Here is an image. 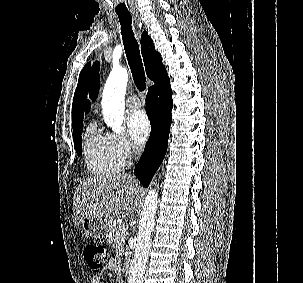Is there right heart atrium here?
Wrapping results in <instances>:
<instances>
[{
    "label": "right heart atrium",
    "mask_w": 303,
    "mask_h": 283,
    "mask_svg": "<svg viewBox=\"0 0 303 283\" xmlns=\"http://www.w3.org/2000/svg\"><path fill=\"white\" fill-rule=\"evenodd\" d=\"M106 137L112 152L123 165L128 164L138 153L137 148L126 136L116 133H107Z\"/></svg>",
    "instance_id": "obj_1"
}]
</instances>
